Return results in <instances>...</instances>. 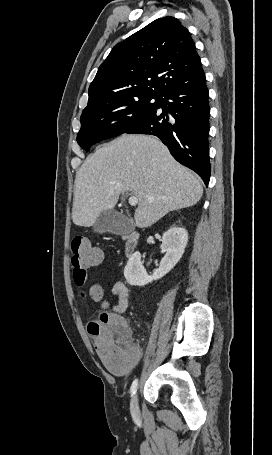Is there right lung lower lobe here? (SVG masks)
Wrapping results in <instances>:
<instances>
[{"mask_svg":"<svg viewBox=\"0 0 272 455\" xmlns=\"http://www.w3.org/2000/svg\"><path fill=\"white\" fill-rule=\"evenodd\" d=\"M209 113L203 73L163 93L157 108L126 133L157 136L179 163L195 171L208 185Z\"/></svg>","mask_w":272,"mask_h":455,"instance_id":"98d812e1","label":"right lung lower lobe"}]
</instances>
